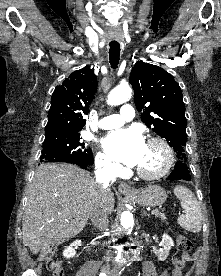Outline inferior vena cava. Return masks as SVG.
Listing matches in <instances>:
<instances>
[{
    "label": "inferior vena cava",
    "mask_w": 221,
    "mask_h": 276,
    "mask_svg": "<svg viewBox=\"0 0 221 276\" xmlns=\"http://www.w3.org/2000/svg\"><path fill=\"white\" fill-rule=\"evenodd\" d=\"M95 176L97 183L102 190H105L108 188L110 180L115 176V169L110 164L102 163L97 167ZM89 218L98 230H107L109 223L107 209L100 200L91 208Z\"/></svg>",
    "instance_id": "1"
}]
</instances>
